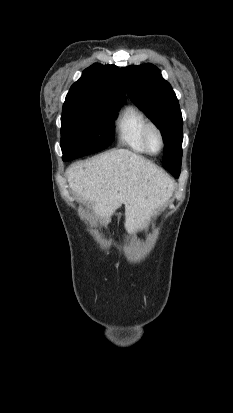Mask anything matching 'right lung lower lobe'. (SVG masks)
<instances>
[{
  "label": "right lung lower lobe",
  "mask_w": 233,
  "mask_h": 413,
  "mask_svg": "<svg viewBox=\"0 0 233 413\" xmlns=\"http://www.w3.org/2000/svg\"><path fill=\"white\" fill-rule=\"evenodd\" d=\"M64 161H69V160H67V159H63Z\"/></svg>",
  "instance_id": "right-lung-lower-lobe-1"
}]
</instances>
